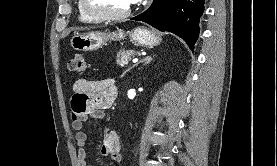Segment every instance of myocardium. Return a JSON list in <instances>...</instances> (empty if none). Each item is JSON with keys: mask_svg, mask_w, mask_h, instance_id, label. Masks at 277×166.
Instances as JSON below:
<instances>
[{"mask_svg": "<svg viewBox=\"0 0 277 166\" xmlns=\"http://www.w3.org/2000/svg\"><path fill=\"white\" fill-rule=\"evenodd\" d=\"M135 4L136 2H134V4L127 11L123 13L109 14V13H101V12L94 11L88 7L86 0H79V6L81 10L89 17L98 21H120V20L127 19L133 14L135 10Z\"/></svg>", "mask_w": 277, "mask_h": 166, "instance_id": "myocardium-1", "label": "myocardium"}]
</instances>
